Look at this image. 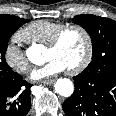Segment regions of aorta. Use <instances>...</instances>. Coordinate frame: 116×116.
I'll list each match as a JSON object with an SVG mask.
<instances>
[{"label":"aorta","mask_w":116,"mask_h":116,"mask_svg":"<svg viewBox=\"0 0 116 116\" xmlns=\"http://www.w3.org/2000/svg\"><path fill=\"white\" fill-rule=\"evenodd\" d=\"M26 54L32 63L37 64V61L41 59L40 54L33 46L26 51ZM55 91L61 96L69 97L74 91V85L71 80L67 78H61L55 83Z\"/></svg>","instance_id":"aorta-1"}]
</instances>
